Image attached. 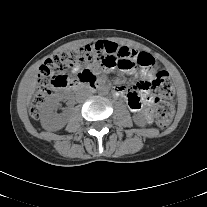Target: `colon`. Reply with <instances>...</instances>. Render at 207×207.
Wrapping results in <instances>:
<instances>
[{
    "instance_id": "5ec220e1",
    "label": "colon",
    "mask_w": 207,
    "mask_h": 207,
    "mask_svg": "<svg viewBox=\"0 0 207 207\" xmlns=\"http://www.w3.org/2000/svg\"><path fill=\"white\" fill-rule=\"evenodd\" d=\"M158 65L152 54L139 53L134 48L118 46L109 41H99L73 50L52 55L40 69L39 79L33 92L30 114L38 118L40 110L51 94L53 87H65L84 79L93 80L94 75L86 71L76 79H69L64 71L72 66H90L103 69L118 67L123 70L135 68L152 71ZM148 88L156 95V123L166 128L172 121L174 105L172 99L175 89L169 73L163 69L155 71V77L148 83Z\"/></svg>"
}]
</instances>
